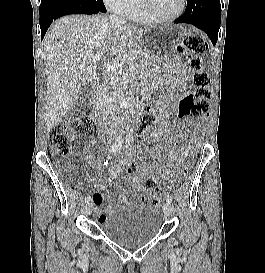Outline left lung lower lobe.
Masks as SVG:
<instances>
[{
    "label": "left lung lower lobe",
    "mask_w": 265,
    "mask_h": 273,
    "mask_svg": "<svg viewBox=\"0 0 265 273\" xmlns=\"http://www.w3.org/2000/svg\"><path fill=\"white\" fill-rule=\"evenodd\" d=\"M221 19L220 0H187L186 11L174 23H188L203 30L216 44Z\"/></svg>",
    "instance_id": "1"
}]
</instances>
